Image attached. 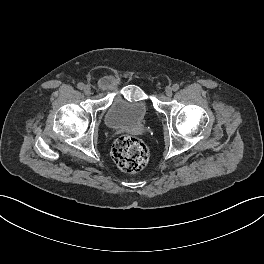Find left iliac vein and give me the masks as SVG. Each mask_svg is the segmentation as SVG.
<instances>
[{"mask_svg": "<svg viewBox=\"0 0 264 264\" xmlns=\"http://www.w3.org/2000/svg\"><path fill=\"white\" fill-rule=\"evenodd\" d=\"M167 97H171L173 94V89L172 88H167L166 92H165Z\"/></svg>", "mask_w": 264, "mask_h": 264, "instance_id": "1", "label": "left iliac vein"}]
</instances>
